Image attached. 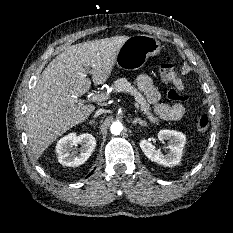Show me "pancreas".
Returning <instances> with one entry per match:
<instances>
[{"mask_svg":"<svg viewBox=\"0 0 233 233\" xmlns=\"http://www.w3.org/2000/svg\"><path fill=\"white\" fill-rule=\"evenodd\" d=\"M114 92H124L134 97L140 110L147 116V119L154 124H160V120L152 114V108L141 92L126 78H119L112 85Z\"/></svg>","mask_w":233,"mask_h":233,"instance_id":"cf45deb5","label":"pancreas"}]
</instances>
